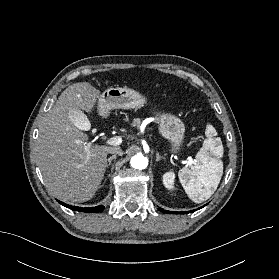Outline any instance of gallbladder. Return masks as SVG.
<instances>
[{
	"label": "gallbladder",
	"instance_id": "gallbladder-1",
	"mask_svg": "<svg viewBox=\"0 0 279 279\" xmlns=\"http://www.w3.org/2000/svg\"><path fill=\"white\" fill-rule=\"evenodd\" d=\"M69 117L73 124H75L80 128L84 127V123L86 122V120L84 118L82 111L78 109H73L72 111L69 112Z\"/></svg>",
	"mask_w": 279,
	"mask_h": 279
}]
</instances>
